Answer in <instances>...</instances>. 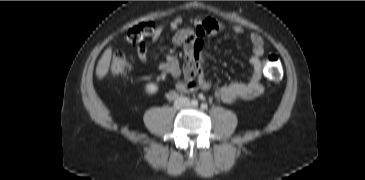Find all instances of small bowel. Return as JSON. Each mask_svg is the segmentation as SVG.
Masks as SVG:
<instances>
[{
    "label": "small bowel",
    "instance_id": "c3829d8e",
    "mask_svg": "<svg viewBox=\"0 0 365 180\" xmlns=\"http://www.w3.org/2000/svg\"><path fill=\"white\" fill-rule=\"evenodd\" d=\"M191 27H182L183 19L179 16L174 17L168 24V29L173 33L172 42L174 45L183 50L185 61L181 67L178 59L173 55H167L164 60L156 64L157 68L174 78L183 76L185 83L179 84L181 91L192 92L195 90H208L212 83L204 76V54L203 41L208 36H216L224 33L227 28L211 18L193 17L189 19ZM237 33H244L240 27H234ZM163 32V26H158L152 35L151 43L156 46ZM249 41L252 53L249 56V63L253 72L249 79L244 82H231L219 86L214 96L227 103H233L240 100H250L260 96L264 92V86L261 83L263 75V64L261 57L265 50V42L261 35L251 33ZM138 57L143 63H149L148 50L145 45H140L137 50ZM176 93L171 91L168 99H173Z\"/></svg>",
    "mask_w": 365,
    "mask_h": 180
}]
</instances>
